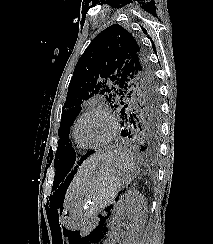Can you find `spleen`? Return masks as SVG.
I'll return each mask as SVG.
<instances>
[{"mask_svg":"<svg viewBox=\"0 0 213 244\" xmlns=\"http://www.w3.org/2000/svg\"><path fill=\"white\" fill-rule=\"evenodd\" d=\"M121 158L124 161L125 167L128 168L129 171L133 172L136 167L133 158L126 153L121 154Z\"/></svg>","mask_w":213,"mask_h":244,"instance_id":"spleen-1","label":"spleen"}]
</instances>
